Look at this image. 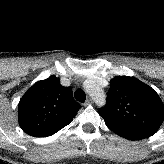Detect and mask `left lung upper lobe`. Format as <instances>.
Masks as SVG:
<instances>
[{"label":"left lung upper lobe","instance_id":"1","mask_svg":"<svg viewBox=\"0 0 164 164\" xmlns=\"http://www.w3.org/2000/svg\"><path fill=\"white\" fill-rule=\"evenodd\" d=\"M99 114L114 126L151 136L164 120V104L155 90L140 80L117 76L110 81L106 106Z\"/></svg>","mask_w":164,"mask_h":164}]
</instances>
